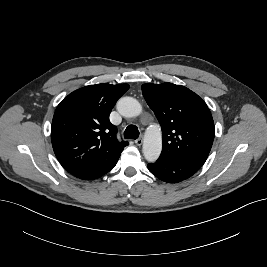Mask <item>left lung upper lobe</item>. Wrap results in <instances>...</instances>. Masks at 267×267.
<instances>
[{
    "mask_svg": "<svg viewBox=\"0 0 267 267\" xmlns=\"http://www.w3.org/2000/svg\"><path fill=\"white\" fill-rule=\"evenodd\" d=\"M142 93L162 128L159 158L202 166L215 135L206 103L188 88L172 83L143 84Z\"/></svg>",
    "mask_w": 267,
    "mask_h": 267,
    "instance_id": "left-lung-upper-lobe-1",
    "label": "left lung upper lobe"
}]
</instances>
